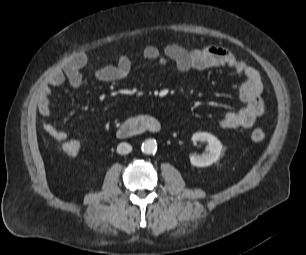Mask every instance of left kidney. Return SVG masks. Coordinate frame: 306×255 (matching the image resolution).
I'll return each instance as SVG.
<instances>
[{"label": "left kidney", "mask_w": 306, "mask_h": 255, "mask_svg": "<svg viewBox=\"0 0 306 255\" xmlns=\"http://www.w3.org/2000/svg\"><path fill=\"white\" fill-rule=\"evenodd\" d=\"M192 141L194 144H196L198 141L207 142L209 150L208 153L202 155H191L190 162L193 166H210L219 159L222 150V144L215 136L207 132H197L193 134Z\"/></svg>", "instance_id": "1"}]
</instances>
